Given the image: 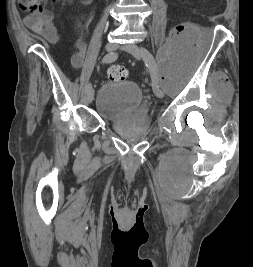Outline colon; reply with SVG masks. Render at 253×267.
I'll use <instances>...</instances> for the list:
<instances>
[{
	"mask_svg": "<svg viewBox=\"0 0 253 267\" xmlns=\"http://www.w3.org/2000/svg\"><path fill=\"white\" fill-rule=\"evenodd\" d=\"M42 2L43 0H18V5L23 11L39 13L43 9ZM108 76L113 81H124L128 76V72L125 67L114 65L109 68Z\"/></svg>",
	"mask_w": 253,
	"mask_h": 267,
	"instance_id": "1",
	"label": "colon"
}]
</instances>
